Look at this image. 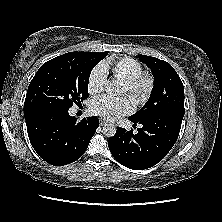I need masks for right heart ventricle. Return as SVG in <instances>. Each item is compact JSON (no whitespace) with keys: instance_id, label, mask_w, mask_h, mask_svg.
<instances>
[{"instance_id":"e07e8e85","label":"right heart ventricle","mask_w":222,"mask_h":222,"mask_svg":"<svg viewBox=\"0 0 222 222\" xmlns=\"http://www.w3.org/2000/svg\"><path fill=\"white\" fill-rule=\"evenodd\" d=\"M105 70L111 69L114 77L121 82H128L143 72L141 63L130 57L112 58L103 65Z\"/></svg>"}]
</instances>
